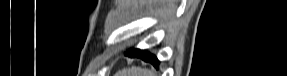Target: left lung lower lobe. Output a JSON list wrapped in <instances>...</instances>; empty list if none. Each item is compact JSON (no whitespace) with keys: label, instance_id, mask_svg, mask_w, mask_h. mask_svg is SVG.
I'll list each match as a JSON object with an SVG mask.
<instances>
[{"label":"left lung lower lobe","instance_id":"0a47b994","mask_svg":"<svg viewBox=\"0 0 287 76\" xmlns=\"http://www.w3.org/2000/svg\"><path fill=\"white\" fill-rule=\"evenodd\" d=\"M125 54L130 57H139L144 61L152 63L156 68L159 66L158 59L149 52L141 51L139 49H130Z\"/></svg>","mask_w":287,"mask_h":76}]
</instances>
